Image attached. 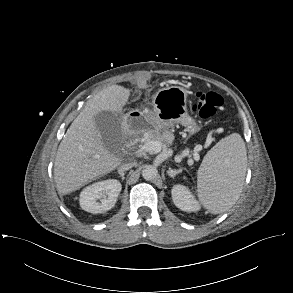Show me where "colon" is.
I'll use <instances>...</instances> for the list:
<instances>
[{
    "label": "colon",
    "instance_id": "5ec220e1",
    "mask_svg": "<svg viewBox=\"0 0 293 293\" xmlns=\"http://www.w3.org/2000/svg\"><path fill=\"white\" fill-rule=\"evenodd\" d=\"M224 99L216 92L198 91L192 103V111L199 114L203 119L213 118L223 107Z\"/></svg>",
    "mask_w": 293,
    "mask_h": 293
}]
</instances>
